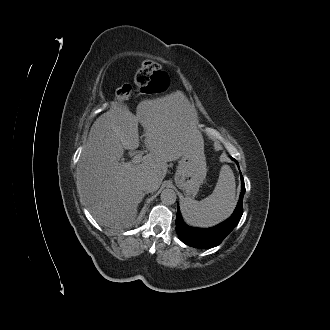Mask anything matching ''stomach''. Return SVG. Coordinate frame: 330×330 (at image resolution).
I'll return each instance as SVG.
<instances>
[{
    "label": "stomach",
    "instance_id": "1",
    "mask_svg": "<svg viewBox=\"0 0 330 330\" xmlns=\"http://www.w3.org/2000/svg\"><path fill=\"white\" fill-rule=\"evenodd\" d=\"M178 163L175 183L188 198H193L198 193L207 174L204 149L186 152Z\"/></svg>",
    "mask_w": 330,
    "mask_h": 330
}]
</instances>
